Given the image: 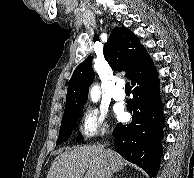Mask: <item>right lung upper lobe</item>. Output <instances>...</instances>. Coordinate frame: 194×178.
Wrapping results in <instances>:
<instances>
[{
    "label": "right lung upper lobe",
    "mask_w": 194,
    "mask_h": 178,
    "mask_svg": "<svg viewBox=\"0 0 194 178\" xmlns=\"http://www.w3.org/2000/svg\"><path fill=\"white\" fill-rule=\"evenodd\" d=\"M104 57L115 71H125L132 86L151 77L155 69L138 37L125 27L114 28L104 45ZM92 58H87L73 72L69 81L64 113L84 107L88 89L94 80Z\"/></svg>",
    "instance_id": "obj_1"
}]
</instances>
